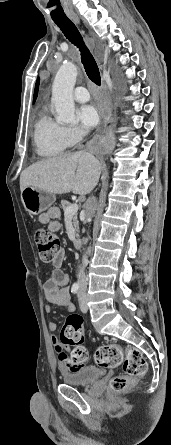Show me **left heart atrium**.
<instances>
[{"mask_svg": "<svg viewBox=\"0 0 171 445\" xmlns=\"http://www.w3.org/2000/svg\"><path fill=\"white\" fill-rule=\"evenodd\" d=\"M79 123L84 129H91L99 122V114L92 105H83L77 111Z\"/></svg>", "mask_w": 171, "mask_h": 445, "instance_id": "obj_1", "label": "left heart atrium"}]
</instances>
